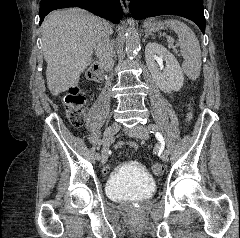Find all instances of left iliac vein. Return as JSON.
<instances>
[{"label":"left iliac vein","mask_w":240,"mask_h":238,"mask_svg":"<svg viewBox=\"0 0 240 238\" xmlns=\"http://www.w3.org/2000/svg\"><path fill=\"white\" fill-rule=\"evenodd\" d=\"M126 133H128L129 135L142 139V140H146L149 138V130L147 129V127L143 126V125H135L130 129L126 130ZM161 159L165 162H167L169 160L168 157V153L167 155H162L161 154Z\"/></svg>","instance_id":"4c4485c4"}]
</instances>
